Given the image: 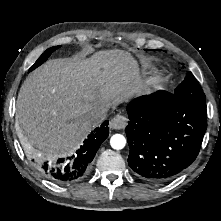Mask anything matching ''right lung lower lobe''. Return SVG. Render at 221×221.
Listing matches in <instances>:
<instances>
[{"label": "right lung lower lobe", "instance_id": "98d812e1", "mask_svg": "<svg viewBox=\"0 0 221 221\" xmlns=\"http://www.w3.org/2000/svg\"><path fill=\"white\" fill-rule=\"evenodd\" d=\"M108 121L95 128L85 139L83 146L72 156L59 159H33L37 170L56 183H70L85 176L101 143L108 137Z\"/></svg>", "mask_w": 221, "mask_h": 221}]
</instances>
